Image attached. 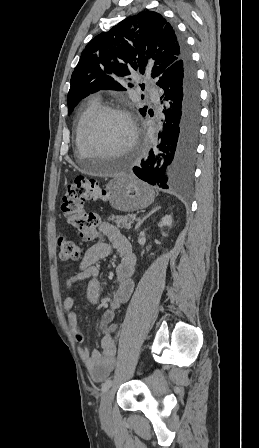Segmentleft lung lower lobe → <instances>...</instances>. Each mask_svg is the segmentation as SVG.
I'll use <instances>...</instances> for the list:
<instances>
[{"instance_id":"0a47b994","label":"left lung lower lobe","mask_w":259,"mask_h":448,"mask_svg":"<svg viewBox=\"0 0 259 448\" xmlns=\"http://www.w3.org/2000/svg\"><path fill=\"white\" fill-rule=\"evenodd\" d=\"M182 56L168 67L156 84L167 101L163 113L161 142L157 150L133 172L141 180L162 189L181 191L192 182L196 145L200 126V93L193 61L185 41ZM146 114L143 116L145 117Z\"/></svg>"}]
</instances>
